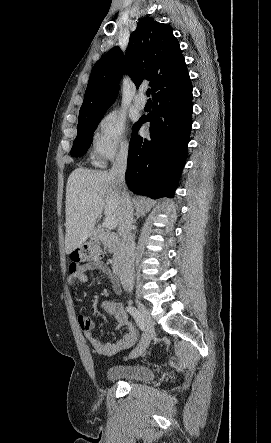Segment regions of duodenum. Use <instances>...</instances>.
<instances>
[{
	"mask_svg": "<svg viewBox=\"0 0 271 443\" xmlns=\"http://www.w3.org/2000/svg\"><path fill=\"white\" fill-rule=\"evenodd\" d=\"M93 235L99 240L118 242L116 257L112 262V271L117 276H122L123 274L127 273L131 269L134 260L133 244L128 239L119 241L117 235L104 232L100 229H96Z\"/></svg>",
	"mask_w": 271,
	"mask_h": 443,
	"instance_id": "1",
	"label": "duodenum"
}]
</instances>
